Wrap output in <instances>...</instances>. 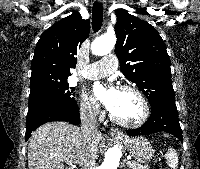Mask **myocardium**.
<instances>
[{
	"label": "myocardium",
	"mask_w": 200,
	"mask_h": 169,
	"mask_svg": "<svg viewBox=\"0 0 200 169\" xmlns=\"http://www.w3.org/2000/svg\"><path fill=\"white\" fill-rule=\"evenodd\" d=\"M120 91H129V92H133L134 94L137 95V97L140 99L141 104H142V115L141 117L134 121V122H128V121H123L120 120L118 118H116L111 112L109 114L110 120L112 122H114L117 125H120L122 127H126V128H139L141 126H143L149 119L150 117V105L148 102V99L146 98L145 94L136 86L133 85H123L120 87Z\"/></svg>",
	"instance_id": "obj_1"
}]
</instances>
